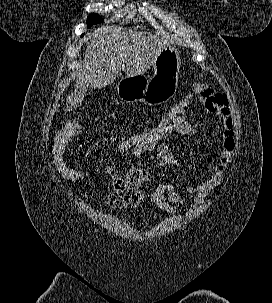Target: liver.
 <instances>
[{"label": "liver", "instance_id": "1", "mask_svg": "<svg viewBox=\"0 0 272 303\" xmlns=\"http://www.w3.org/2000/svg\"><path fill=\"white\" fill-rule=\"evenodd\" d=\"M74 92L68 97L66 109H77L88 88H103L114 82L119 71L126 78L145 73L154 65L159 53L170 45L167 37L149 32H134L122 27H101L88 35Z\"/></svg>", "mask_w": 272, "mask_h": 303}]
</instances>
